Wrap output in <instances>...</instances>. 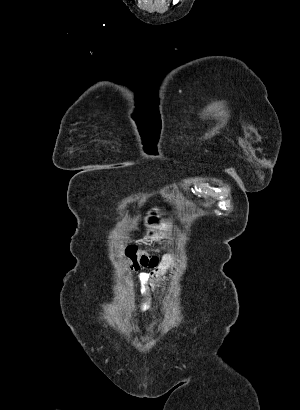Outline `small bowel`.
I'll return each mask as SVG.
<instances>
[{
    "mask_svg": "<svg viewBox=\"0 0 300 410\" xmlns=\"http://www.w3.org/2000/svg\"><path fill=\"white\" fill-rule=\"evenodd\" d=\"M175 269V263L173 261V258L168 257L164 260V262L162 263V265L153 273H151L148 276V280L147 283L149 285V291L152 293H156L157 292V285H156V280H168L169 278L172 277L173 272ZM145 303H138L136 305V309L137 310H142L145 308Z\"/></svg>",
    "mask_w": 300,
    "mask_h": 410,
    "instance_id": "obj_1",
    "label": "small bowel"
}]
</instances>
